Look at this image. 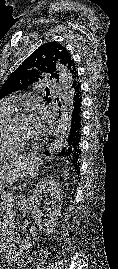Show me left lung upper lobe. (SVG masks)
Returning <instances> with one entry per match:
<instances>
[{"mask_svg":"<svg viewBox=\"0 0 118 269\" xmlns=\"http://www.w3.org/2000/svg\"><path fill=\"white\" fill-rule=\"evenodd\" d=\"M57 63H61L72 76V86L74 89L79 85V78L74 60L67 49L57 42H48L35 50L5 81L0 88V98L11 92L26 89L30 84L42 79V74L46 73L50 78H58L56 71ZM50 102V98H44Z\"/></svg>","mask_w":118,"mask_h":269,"instance_id":"5c2ea615","label":"left lung upper lobe"}]
</instances>
